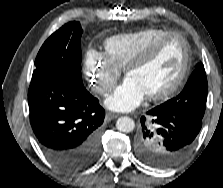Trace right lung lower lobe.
I'll list each match as a JSON object with an SVG mask.
<instances>
[{
    "label": "right lung lower lobe",
    "mask_w": 223,
    "mask_h": 188,
    "mask_svg": "<svg viewBox=\"0 0 223 188\" xmlns=\"http://www.w3.org/2000/svg\"><path fill=\"white\" fill-rule=\"evenodd\" d=\"M28 103L35 136L56 167L74 172L97 159L105 111L85 88L59 77L32 75Z\"/></svg>",
    "instance_id": "98d812e1"
}]
</instances>
